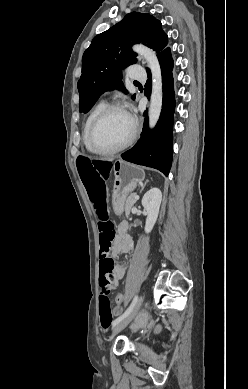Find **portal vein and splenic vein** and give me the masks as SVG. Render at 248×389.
I'll list each match as a JSON object with an SVG mask.
<instances>
[{
	"label": "portal vein and splenic vein",
	"instance_id": "portal-vein-and-splenic-vein-1",
	"mask_svg": "<svg viewBox=\"0 0 248 389\" xmlns=\"http://www.w3.org/2000/svg\"><path fill=\"white\" fill-rule=\"evenodd\" d=\"M135 199H138V196H135Z\"/></svg>",
	"mask_w": 248,
	"mask_h": 389
}]
</instances>
